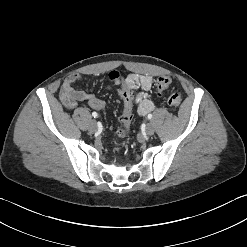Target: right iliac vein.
<instances>
[{"label":"right iliac vein","mask_w":247,"mask_h":247,"mask_svg":"<svg viewBox=\"0 0 247 247\" xmlns=\"http://www.w3.org/2000/svg\"><path fill=\"white\" fill-rule=\"evenodd\" d=\"M98 127H97V123L95 120H92L89 126V131L92 133H95L97 131Z\"/></svg>","instance_id":"obj_1"}]
</instances>
